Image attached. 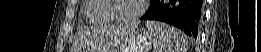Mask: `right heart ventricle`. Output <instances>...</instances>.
<instances>
[{
  "label": "right heart ventricle",
  "mask_w": 261,
  "mask_h": 52,
  "mask_svg": "<svg viewBox=\"0 0 261 52\" xmlns=\"http://www.w3.org/2000/svg\"><path fill=\"white\" fill-rule=\"evenodd\" d=\"M105 7L106 0H86L83 6L85 20L92 24H111L112 21Z\"/></svg>",
  "instance_id": "right-heart-ventricle-1"
}]
</instances>
